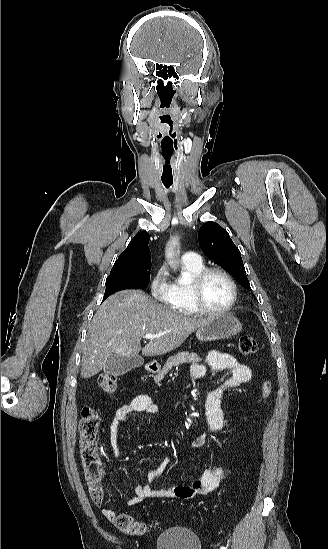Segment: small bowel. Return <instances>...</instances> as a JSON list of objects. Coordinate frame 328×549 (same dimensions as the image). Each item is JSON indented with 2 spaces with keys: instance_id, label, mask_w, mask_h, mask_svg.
Segmentation results:
<instances>
[{
  "instance_id": "small-bowel-1",
  "label": "small bowel",
  "mask_w": 328,
  "mask_h": 549,
  "mask_svg": "<svg viewBox=\"0 0 328 549\" xmlns=\"http://www.w3.org/2000/svg\"><path fill=\"white\" fill-rule=\"evenodd\" d=\"M205 363L216 371H229L230 378L217 390L211 392L206 397L205 410L207 429L202 434L198 435L190 444V450L203 448L208 441V437L212 433H217L222 430L224 425L222 413V400L225 394L238 386L247 383L252 378V371L249 366L241 363L236 357L229 353L219 351H210L205 358ZM191 375L195 378H203L206 373L204 364L196 363L191 366ZM158 414L159 409L154 404L152 398L146 394H141L133 398L130 402L120 406L114 413V416L108 427V436L114 454L119 457L121 455L118 447V431L119 426L123 422L129 420L132 414ZM171 458L165 456L161 459L159 465L147 472L145 478L147 483L138 485L134 490V496L127 501L130 506L137 505L150 497H163L169 499H192L199 495H206L216 490L223 479L226 472L222 467L207 468L202 471L199 477L190 480L187 485H170L167 487L153 489L150 484L155 482L167 468ZM112 474V473H110ZM115 514L110 509H104V514Z\"/></svg>"
}]
</instances>
